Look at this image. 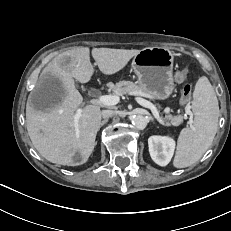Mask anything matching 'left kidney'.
Instances as JSON below:
<instances>
[{"label": "left kidney", "instance_id": "1", "mask_svg": "<svg viewBox=\"0 0 231 231\" xmlns=\"http://www.w3.org/2000/svg\"><path fill=\"white\" fill-rule=\"evenodd\" d=\"M149 153L152 160L160 165L166 166L173 157L175 141L167 136H151L148 139Z\"/></svg>", "mask_w": 231, "mask_h": 231}]
</instances>
